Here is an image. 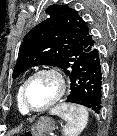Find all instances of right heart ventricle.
Returning <instances> with one entry per match:
<instances>
[{"label":"right heart ventricle","mask_w":117,"mask_h":136,"mask_svg":"<svg viewBox=\"0 0 117 136\" xmlns=\"http://www.w3.org/2000/svg\"><path fill=\"white\" fill-rule=\"evenodd\" d=\"M21 90H22V84L18 87L17 93H16V105L17 109L21 114H28L27 110L24 108L22 101H21Z\"/></svg>","instance_id":"1"}]
</instances>
